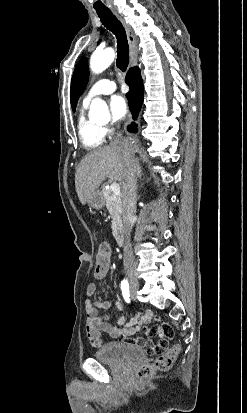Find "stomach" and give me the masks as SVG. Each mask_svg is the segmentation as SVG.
Segmentation results:
<instances>
[{
    "label": "stomach",
    "mask_w": 247,
    "mask_h": 413,
    "mask_svg": "<svg viewBox=\"0 0 247 413\" xmlns=\"http://www.w3.org/2000/svg\"><path fill=\"white\" fill-rule=\"evenodd\" d=\"M88 207H92V209H102L105 204V198L100 192V190H95L90 194L89 198H87Z\"/></svg>",
    "instance_id": "stomach-1"
}]
</instances>
